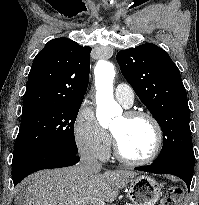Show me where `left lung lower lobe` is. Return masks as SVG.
<instances>
[{
    "label": "left lung lower lobe",
    "mask_w": 199,
    "mask_h": 205,
    "mask_svg": "<svg viewBox=\"0 0 199 205\" xmlns=\"http://www.w3.org/2000/svg\"><path fill=\"white\" fill-rule=\"evenodd\" d=\"M136 170L146 171L156 174H171L181 178L188 187L193 177L194 167L182 162H168L163 164H151L149 166L136 167Z\"/></svg>",
    "instance_id": "obj_1"
}]
</instances>
